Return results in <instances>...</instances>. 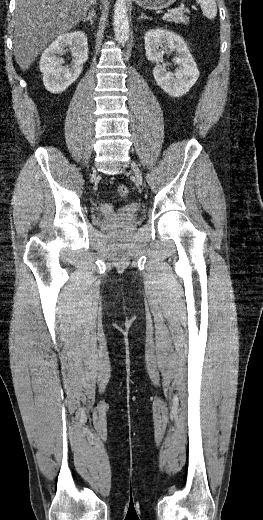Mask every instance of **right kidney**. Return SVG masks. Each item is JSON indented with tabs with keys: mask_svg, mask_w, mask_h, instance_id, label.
Listing matches in <instances>:
<instances>
[{
	"mask_svg": "<svg viewBox=\"0 0 263 520\" xmlns=\"http://www.w3.org/2000/svg\"><path fill=\"white\" fill-rule=\"evenodd\" d=\"M68 49L71 50L74 59L70 67H65L64 60L59 56ZM87 59L88 42L87 35L83 31L58 36L45 49L39 62L45 88L54 94L66 90L79 77Z\"/></svg>",
	"mask_w": 263,
	"mask_h": 520,
	"instance_id": "obj_1",
	"label": "right kidney"
}]
</instances>
